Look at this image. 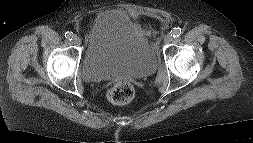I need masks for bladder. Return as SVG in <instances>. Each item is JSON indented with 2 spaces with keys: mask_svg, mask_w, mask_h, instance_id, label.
I'll return each mask as SVG.
<instances>
[{
  "mask_svg": "<svg viewBox=\"0 0 253 143\" xmlns=\"http://www.w3.org/2000/svg\"><path fill=\"white\" fill-rule=\"evenodd\" d=\"M156 64L150 43L123 11L106 10L94 19L82 62L86 80L143 78Z\"/></svg>",
  "mask_w": 253,
  "mask_h": 143,
  "instance_id": "bladder-1",
  "label": "bladder"
}]
</instances>
